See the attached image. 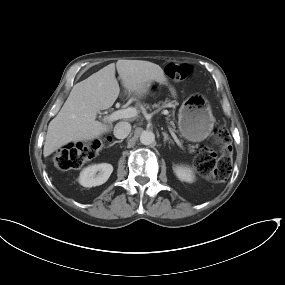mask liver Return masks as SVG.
I'll return each instance as SVG.
<instances>
[{
  "label": "liver",
  "instance_id": "1",
  "mask_svg": "<svg viewBox=\"0 0 285 285\" xmlns=\"http://www.w3.org/2000/svg\"><path fill=\"white\" fill-rule=\"evenodd\" d=\"M116 69L122 86L139 98L148 92L152 82L167 84L162 68L152 62L118 60ZM171 91L175 95L174 90ZM119 93L115 63L75 84L61 110L48 125L44 157L71 142L91 141L106 133L110 126L97 121L96 117L100 110L114 104Z\"/></svg>",
  "mask_w": 285,
  "mask_h": 285
}]
</instances>
